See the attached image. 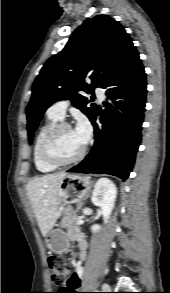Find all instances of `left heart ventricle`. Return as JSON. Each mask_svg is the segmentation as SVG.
<instances>
[{"instance_id": "1", "label": "left heart ventricle", "mask_w": 170, "mask_h": 293, "mask_svg": "<svg viewBox=\"0 0 170 293\" xmlns=\"http://www.w3.org/2000/svg\"><path fill=\"white\" fill-rule=\"evenodd\" d=\"M82 147L83 143L79 140L75 131L70 128H63L56 134L51 152L58 159L67 160L77 155Z\"/></svg>"}]
</instances>
